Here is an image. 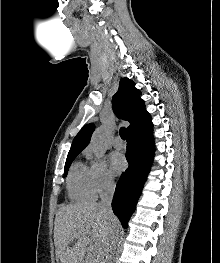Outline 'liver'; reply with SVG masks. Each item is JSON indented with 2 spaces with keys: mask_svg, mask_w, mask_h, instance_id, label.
<instances>
[{
  "mask_svg": "<svg viewBox=\"0 0 220 263\" xmlns=\"http://www.w3.org/2000/svg\"><path fill=\"white\" fill-rule=\"evenodd\" d=\"M54 244L58 263H93L104 258L111 230L120 228L116 216H108L98 203L62 205L55 217ZM74 239L77 242L70 246Z\"/></svg>",
  "mask_w": 220,
  "mask_h": 263,
  "instance_id": "obj_1",
  "label": "liver"
}]
</instances>
